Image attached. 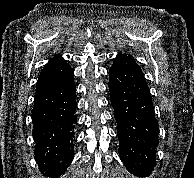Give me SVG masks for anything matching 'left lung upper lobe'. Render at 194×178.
I'll return each instance as SVG.
<instances>
[{"label":"left lung upper lobe","instance_id":"left-lung-upper-lobe-1","mask_svg":"<svg viewBox=\"0 0 194 178\" xmlns=\"http://www.w3.org/2000/svg\"><path fill=\"white\" fill-rule=\"evenodd\" d=\"M119 55L134 60V59L132 58V55H130V54H123V55H122V54H119Z\"/></svg>","mask_w":194,"mask_h":178}]
</instances>
